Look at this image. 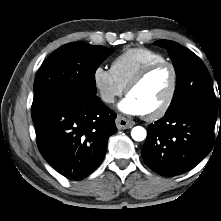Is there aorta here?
Instances as JSON below:
<instances>
[{
    "mask_svg": "<svg viewBox=\"0 0 221 221\" xmlns=\"http://www.w3.org/2000/svg\"><path fill=\"white\" fill-rule=\"evenodd\" d=\"M147 132L141 126H136L131 131V136L135 141H143L146 138Z\"/></svg>",
    "mask_w": 221,
    "mask_h": 221,
    "instance_id": "obj_1",
    "label": "aorta"
}]
</instances>
